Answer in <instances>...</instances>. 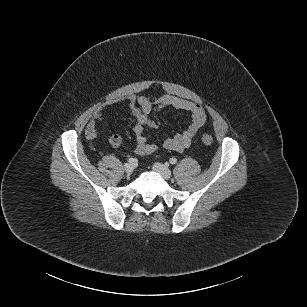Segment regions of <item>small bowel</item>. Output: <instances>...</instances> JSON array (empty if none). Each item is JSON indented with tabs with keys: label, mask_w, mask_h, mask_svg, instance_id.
<instances>
[{
	"label": "small bowel",
	"mask_w": 307,
	"mask_h": 307,
	"mask_svg": "<svg viewBox=\"0 0 307 307\" xmlns=\"http://www.w3.org/2000/svg\"><path fill=\"white\" fill-rule=\"evenodd\" d=\"M126 102L135 119L133 128L136 141L135 151L141 156L150 155L157 150V146L150 143L144 133L145 127L157 128L159 126L157 118L153 116L154 112L164 107H171L176 110L186 111L191 115L187 128L181 133L166 139L163 143L165 149L176 152H181L190 146L192 139L206 120L205 112L201 105L176 96L163 95L152 101L143 95H129L126 97ZM101 115V109H97L93 113L92 119L86 128L88 138L94 139L97 137V124L101 120Z\"/></svg>",
	"instance_id": "1"
}]
</instances>
